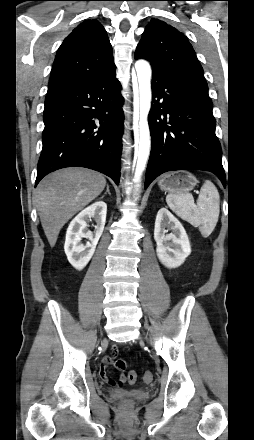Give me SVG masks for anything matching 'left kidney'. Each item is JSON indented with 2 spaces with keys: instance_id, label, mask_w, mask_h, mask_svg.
<instances>
[{
  "instance_id": "left-kidney-1",
  "label": "left kidney",
  "mask_w": 254,
  "mask_h": 440,
  "mask_svg": "<svg viewBox=\"0 0 254 440\" xmlns=\"http://www.w3.org/2000/svg\"><path fill=\"white\" fill-rule=\"evenodd\" d=\"M166 228L172 233L166 234ZM154 239L160 262L167 268H177L191 253L190 242L182 224L172 213L161 208L156 216Z\"/></svg>"
}]
</instances>
